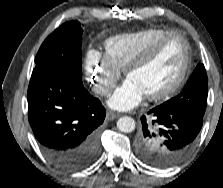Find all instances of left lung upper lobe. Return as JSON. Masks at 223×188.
<instances>
[{"instance_id": "left-lung-upper-lobe-1", "label": "left lung upper lobe", "mask_w": 223, "mask_h": 188, "mask_svg": "<svg viewBox=\"0 0 223 188\" xmlns=\"http://www.w3.org/2000/svg\"><path fill=\"white\" fill-rule=\"evenodd\" d=\"M208 95V80L203 64H198L183 91L159 107L168 113L189 114L203 118ZM160 151L159 146H155ZM148 164L150 162L144 160Z\"/></svg>"}]
</instances>
